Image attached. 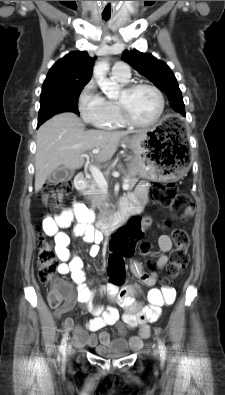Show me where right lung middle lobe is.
<instances>
[{"mask_svg":"<svg viewBox=\"0 0 225 395\" xmlns=\"http://www.w3.org/2000/svg\"><path fill=\"white\" fill-rule=\"evenodd\" d=\"M86 84H56L43 86L40 96L38 124L60 112H74L79 115L78 98Z\"/></svg>","mask_w":225,"mask_h":395,"instance_id":"right-lung-middle-lobe-1","label":"right lung middle lobe"}]
</instances>
